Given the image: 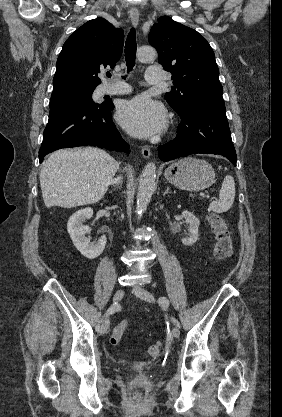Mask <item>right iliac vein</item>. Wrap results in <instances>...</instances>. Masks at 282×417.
Wrapping results in <instances>:
<instances>
[{
    "label": "right iliac vein",
    "instance_id": "63e3f726",
    "mask_svg": "<svg viewBox=\"0 0 282 417\" xmlns=\"http://www.w3.org/2000/svg\"><path fill=\"white\" fill-rule=\"evenodd\" d=\"M124 295H125V291L123 289L117 290L114 297H113V301L115 303H118L123 298ZM108 326H109L108 322L107 321L104 322L102 324L101 328H100V333L101 334H106L107 331H108Z\"/></svg>",
    "mask_w": 282,
    "mask_h": 417
}]
</instances>
